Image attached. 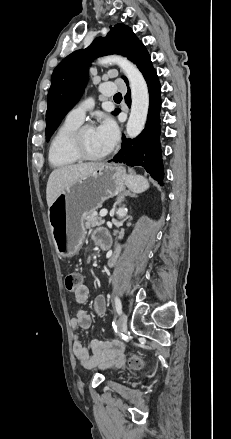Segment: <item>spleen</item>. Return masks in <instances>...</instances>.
<instances>
[{"label":"spleen","mask_w":231,"mask_h":439,"mask_svg":"<svg viewBox=\"0 0 231 439\" xmlns=\"http://www.w3.org/2000/svg\"><path fill=\"white\" fill-rule=\"evenodd\" d=\"M126 185L134 193H141L149 188L148 180L141 175H128Z\"/></svg>","instance_id":"1"}]
</instances>
